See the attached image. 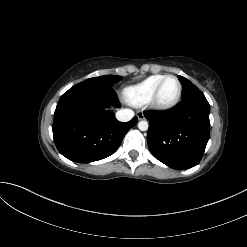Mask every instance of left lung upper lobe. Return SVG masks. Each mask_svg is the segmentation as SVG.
<instances>
[{
    "label": "left lung upper lobe",
    "instance_id": "obj_1",
    "mask_svg": "<svg viewBox=\"0 0 247 247\" xmlns=\"http://www.w3.org/2000/svg\"><path fill=\"white\" fill-rule=\"evenodd\" d=\"M179 81L181 82V84L183 85V89H182V99L187 98L189 95H191L194 91H198L199 89L192 84L188 79H186L185 77L182 76H178Z\"/></svg>",
    "mask_w": 247,
    "mask_h": 247
}]
</instances>
